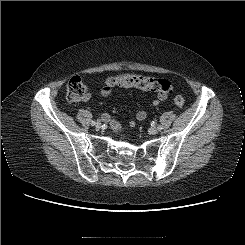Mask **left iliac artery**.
Instances as JSON below:
<instances>
[{
  "mask_svg": "<svg viewBox=\"0 0 245 245\" xmlns=\"http://www.w3.org/2000/svg\"><path fill=\"white\" fill-rule=\"evenodd\" d=\"M152 123H153L154 125L156 124L154 121H153ZM158 129H159V130H161V129H162V127H161V126H159V127H158Z\"/></svg>",
  "mask_w": 245,
  "mask_h": 245,
  "instance_id": "left-iliac-artery-1",
  "label": "left iliac artery"
}]
</instances>
